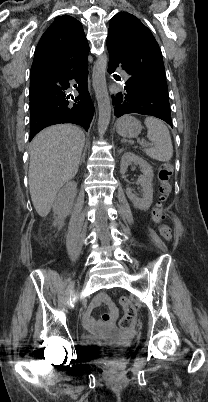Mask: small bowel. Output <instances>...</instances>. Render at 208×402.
Returning a JSON list of instances; mask_svg holds the SVG:
<instances>
[{
    "label": "small bowel",
    "instance_id": "small-bowel-1",
    "mask_svg": "<svg viewBox=\"0 0 208 402\" xmlns=\"http://www.w3.org/2000/svg\"><path fill=\"white\" fill-rule=\"evenodd\" d=\"M109 299V295L107 292H98L96 294V299L94 300L93 304L94 306L99 305L100 303H104L108 306L109 312L105 313L102 315L101 317V322H99L98 327L101 330H110L112 327V324L115 323L116 321V315H117V311L115 309V307L113 306V304L110 302V300L108 302H103V301H107ZM84 316L86 317V320L83 323V328L85 330H92L95 327L97 318L96 316L93 315V311L91 309H86L84 311Z\"/></svg>",
    "mask_w": 208,
    "mask_h": 402
}]
</instances>
